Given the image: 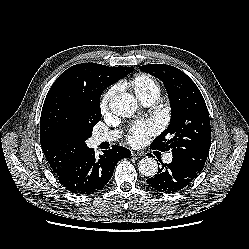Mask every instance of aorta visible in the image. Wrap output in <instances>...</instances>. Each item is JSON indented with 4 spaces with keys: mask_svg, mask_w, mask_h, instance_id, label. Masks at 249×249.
Masks as SVG:
<instances>
[{
    "mask_svg": "<svg viewBox=\"0 0 249 249\" xmlns=\"http://www.w3.org/2000/svg\"><path fill=\"white\" fill-rule=\"evenodd\" d=\"M110 110L120 117H131L138 108L137 99L128 93L120 94L113 97L109 102ZM139 172L146 176L152 177L157 174L158 164L152 157L142 158L138 163Z\"/></svg>",
    "mask_w": 249,
    "mask_h": 249,
    "instance_id": "1",
    "label": "aorta"
}]
</instances>
